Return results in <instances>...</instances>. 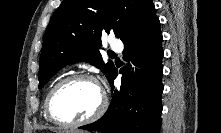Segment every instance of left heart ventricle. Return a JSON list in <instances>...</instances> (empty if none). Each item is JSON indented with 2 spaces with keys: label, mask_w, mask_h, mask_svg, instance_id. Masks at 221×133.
Segmentation results:
<instances>
[{
  "label": "left heart ventricle",
  "mask_w": 221,
  "mask_h": 133,
  "mask_svg": "<svg viewBox=\"0 0 221 133\" xmlns=\"http://www.w3.org/2000/svg\"><path fill=\"white\" fill-rule=\"evenodd\" d=\"M99 102L100 91L94 83L76 80L56 90L51 99V111L60 121H79L91 115Z\"/></svg>",
  "instance_id": "obj_1"
}]
</instances>
